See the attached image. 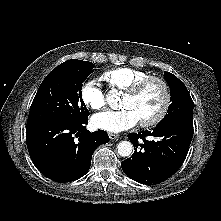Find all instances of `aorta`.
<instances>
[{
	"label": "aorta",
	"instance_id": "obj_1",
	"mask_svg": "<svg viewBox=\"0 0 221 221\" xmlns=\"http://www.w3.org/2000/svg\"><path fill=\"white\" fill-rule=\"evenodd\" d=\"M118 95H119L118 91L112 90L106 96V102L112 109H115L118 106V100H119ZM132 151H133V145L129 141H121L117 145V152L122 157L130 156L132 154Z\"/></svg>",
	"mask_w": 221,
	"mask_h": 221
}]
</instances>
